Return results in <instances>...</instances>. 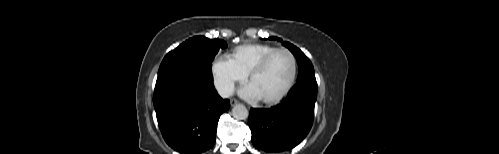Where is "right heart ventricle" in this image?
Segmentation results:
<instances>
[{
  "instance_id": "right-heart-ventricle-1",
  "label": "right heart ventricle",
  "mask_w": 499,
  "mask_h": 154,
  "mask_svg": "<svg viewBox=\"0 0 499 154\" xmlns=\"http://www.w3.org/2000/svg\"><path fill=\"white\" fill-rule=\"evenodd\" d=\"M275 49H277L275 46L269 44H244L233 49L228 57L240 70L248 74L258 61Z\"/></svg>"
}]
</instances>
